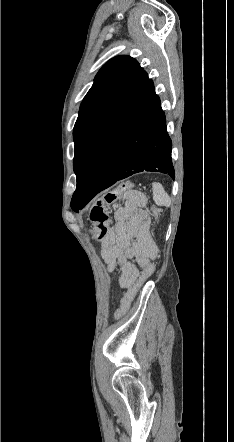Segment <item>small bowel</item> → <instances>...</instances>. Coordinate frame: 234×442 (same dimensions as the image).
Returning <instances> with one entry per match:
<instances>
[{
  "label": "small bowel",
  "instance_id": "small-bowel-1",
  "mask_svg": "<svg viewBox=\"0 0 234 442\" xmlns=\"http://www.w3.org/2000/svg\"><path fill=\"white\" fill-rule=\"evenodd\" d=\"M146 197L130 192L123 205L114 208L113 221L100 247L101 257L109 272L120 266L119 284L130 288L147 268L146 263L155 255V249L147 239ZM138 239V242H135Z\"/></svg>",
  "mask_w": 234,
  "mask_h": 442
}]
</instances>
